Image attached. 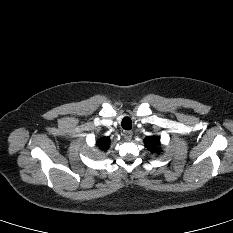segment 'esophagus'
Listing matches in <instances>:
<instances>
[{
	"instance_id": "esophagus-1",
	"label": "esophagus",
	"mask_w": 233,
	"mask_h": 233,
	"mask_svg": "<svg viewBox=\"0 0 233 233\" xmlns=\"http://www.w3.org/2000/svg\"><path fill=\"white\" fill-rule=\"evenodd\" d=\"M123 136H124V139L126 141H130L132 139V136H133V132L132 131H125L123 133Z\"/></svg>"
}]
</instances>
